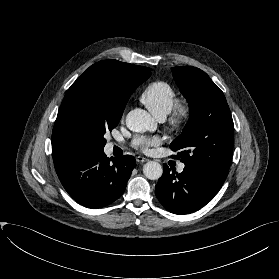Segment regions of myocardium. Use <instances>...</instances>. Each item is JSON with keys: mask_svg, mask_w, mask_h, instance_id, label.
<instances>
[{"mask_svg": "<svg viewBox=\"0 0 279 279\" xmlns=\"http://www.w3.org/2000/svg\"><path fill=\"white\" fill-rule=\"evenodd\" d=\"M192 114L191 105L184 100H176L170 111L169 124L173 130H181L186 126Z\"/></svg>", "mask_w": 279, "mask_h": 279, "instance_id": "1", "label": "myocardium"}]
</instances>
